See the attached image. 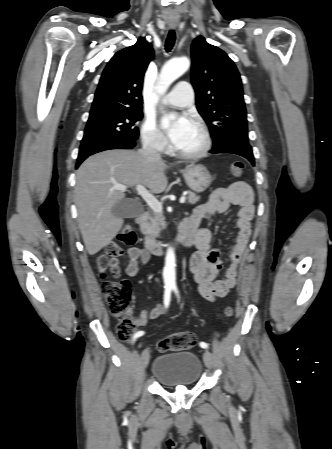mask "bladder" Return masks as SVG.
I'll return each instance as SVG.
<instances>
[{
    "label": "bladder",
    "mask_w": 332,
    "mask_h": 449,
    "mask_svg": "<svg viewBox=\"0 0 332 449\" xmlns=\"http://www.w3.org/2000/svg\"><path fill=\"white\" fill-rule=\"evenodd\" d=\"M203 367L193 352L178 351L155 358L152 376L165 387L193 386L198 383Z\"/></svg>",
    "instance_id": "31cf9c89"
}]
</instances>
